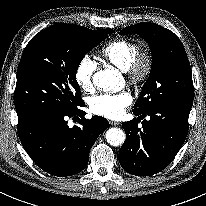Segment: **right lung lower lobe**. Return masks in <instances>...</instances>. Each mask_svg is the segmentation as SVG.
Returning <instances> with one entry per match:
<instances>
[{
  "mask_svg": "<svg viewBox=\"0 0 206 206\" xmlns=\"http://www.w3.org/2000/svg\"><path fill=\"white\" fill-rule=\"evenodd\" d=\"M80 107L18 123L19 138L30 158L54 176L66 177L81 172L88 164L96 139L109 126L102 117L86 119ZM68 118L77 119L80 125L69 128Z\"/></svg>",
  "mask_w": 206,
  "mask_h": 206,
  "instance_id": "right-lung-lower-lobe-1",
  "label": "right lung lower lobe"
}]
</instances>
